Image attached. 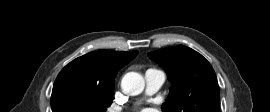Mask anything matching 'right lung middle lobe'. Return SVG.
I'll list each match as a JSON object with an SVG mask.
<instances>
[{
	"instance_id": "1",
	"label": "right lung middle lobe",
	"mask_w": 270,
	"mask_h": 112,
	"mask_svg": "<svg viewBox=\"0 0 270 112\" xmlns=\"http://www.w3.org/2000/svg\"><path fill=\"white\" fill-rule=\"evenodd\" d=\"M113 93L63 84L53 88L51 108L53 112H106L112 104Z\"/></svg>"
}]
</instances>
